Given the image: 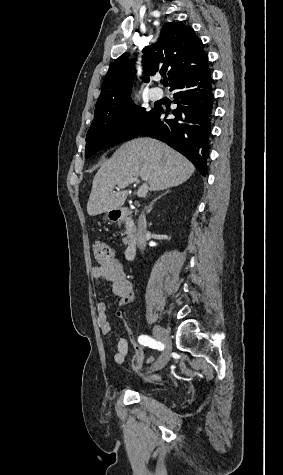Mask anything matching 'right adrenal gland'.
Returning <instances> with one entry per match:
<instances>
[{"label":"right adrenal gland","instance_id":"obj_1","mask_svg":"<svg viewBox=\"0 0 283 475\" xmlns=\"http://www.w3.org/2000/svg\"><path fill=\"white\" fill-rule=\"evenodd\" d=\"M165 194H169V190H167V192H165ZM165 194H161V196H159V198H155V200H153V202H151V204H149V206H148L149 210H152L154 202H157V200H160V198H162V196H165Z\"/></svg>","mask_w":283,"mask_h":475}]
</instances>
